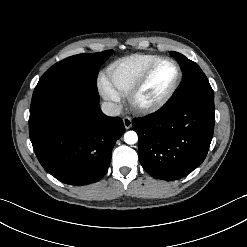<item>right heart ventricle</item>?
<instances>
[{
    "instance_id": "1",
    "label": "right heart ventricle",
    "mask_w": 247,
    "mask_h": 247,
    "mask_svg": "<svg viewBox=\"0 0 247 247\" xmlns=\"http://www.w3.org/2000/svg\"><path fill=\"white\" fill-rule=\"evenodd\" d=\"M161 56L132 54L113 62L106 70V77L119 95H126L145 69Z\"/></svg>"
}]
</instances>
